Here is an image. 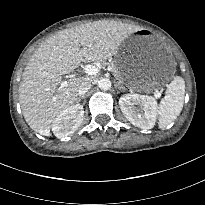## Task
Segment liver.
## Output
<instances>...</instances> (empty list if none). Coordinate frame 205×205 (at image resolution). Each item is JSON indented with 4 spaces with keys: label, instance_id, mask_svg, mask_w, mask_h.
<instances>
[{
    "label": "liver",
    "instance_id": "1",
    "mask_svg": "<svg viewBox=\"0 0 205 205\" xmlns=\"http://www.w3.org/2000/svg\"><path fill=\"white\" fill-rule=\"evenodd\" d=\"M140 28L117 21H94L58 32L34 52L22 75L19 100L25 121L43 136L57 115L78 100L84 79L61 82L81 62L104 61ZM82 47V48H81Z\"/></svg>",
    "mask_w": 205,
    "mask_h": 205
}]
</instances>
